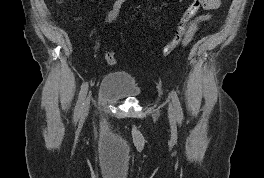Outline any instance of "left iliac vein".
Segmentation results:
<instances>
[{
  "label": "left iliac vein",
  "instance_id": "left-iliac-vein-1",
  "mask_svg": "<svg viewBox=\"0 0 264 178\" xmlns=\"http://www.w3.org/2000/svg\"><path fill=\"white\" fill-rule=\"evenodd\" d=\"M168 115H169L170 121L174 123L175 122V112H174V108L172 104H169Z\"/></svg>",
  "mask_w": 264,
  "mask_h": 178
}]
</instances>
